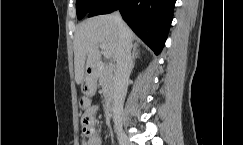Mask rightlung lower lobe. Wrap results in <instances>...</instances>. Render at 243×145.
<instances>
[{
  "label": "right lung lower lobe",
  "instance_id": "right-lung-lower-lobe-1",
  "mask_svg": "<svg viewBox=\"0 0 243 145\" xmlns=\"http://www.w3.org/2000/svg\"><path fill=\"white\" fill-rule=\"evenodd\" d=\"M176 0H103L89 17L119 9L130 28L159 54L167 38Z\"/></svg>",
  "mask_w": 243,
  "mask_h": 145
}]
</instances>
